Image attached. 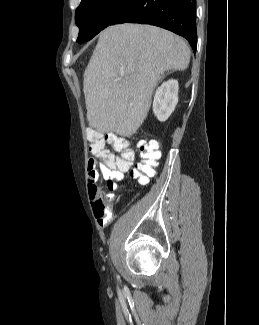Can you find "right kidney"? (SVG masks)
Masks as SVG:
<instances>
[{
    "mask_svg": "<svg viewBox=\"0 0 259 325\" xmlns=\"http://www.w3.org/2000/svg\"><path fill=\"white\" fill-rule=\"evenodd\" d=\"M178 81L171 79L163 82L155 92L153 113L161 122L166 121L178 103Z\"/></svg>",
    "mask_w": 259,
    "mask_h": 325,
    "instance_id": "1",
    "label": "right kidney"
}]
</instances>
